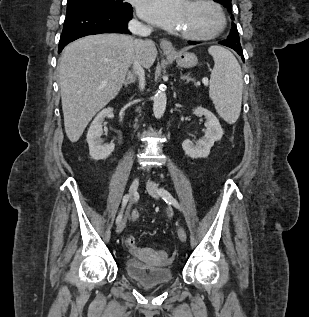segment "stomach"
I'll use <instances>...</instances> for the list:
<instances>
[{
  "mask_svg": "<svg viewBox=\"0 0 309 317\" xmlns=\"http://www.w3.org/2000/svg\"><path fill=\"white\" fill-rule=\"evenodd\" d=\"M177 65L184 68L194 67L198 63V59L195 54L186 51H179L174 54Z\"/></svg>",
  "mask_w": 309,
  "mask_h": 317,
  "instance_id": "stomach-1",
  "label": "stomach"
}]
</instances>
